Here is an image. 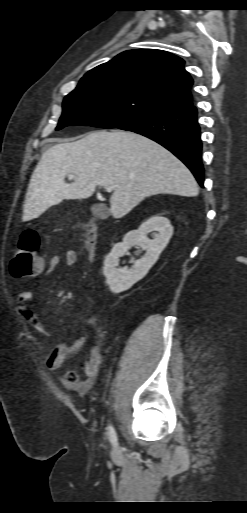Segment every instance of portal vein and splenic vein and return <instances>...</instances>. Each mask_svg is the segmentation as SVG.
I'll use <instances>...</instances> for the list:
<instances>
[{
	"label": "portal vein and splenic vein",
	"instance_id": "portal-vein-and-splenic-vein-1",
	"mask_svg": "<svg viewBox=\"0 0 247 513\" xmlns=\"http://www.w3.org/2000/svg\"><path fill=\"white\" fill-rule=\"evenodd\" d=\"M70 178H74L75 176L73 174H70L69 175ZM114 186L113 185H108V186H105V190L107 192H111L113 190Z\"/></svg>",
	"mask_w": 247,
	"mask_h": 513
}]
</instances>
